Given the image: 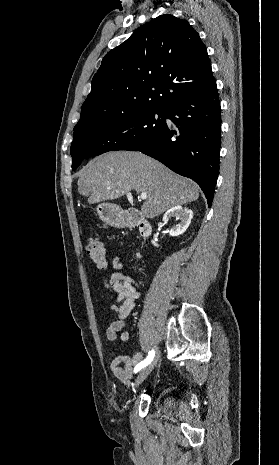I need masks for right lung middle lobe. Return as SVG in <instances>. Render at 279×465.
<instances>
[{"mask_svg":"<svg viewBox=\"0 0 279 465\" xmlns=\"http://www.w3.org/2000/svg\"><path fill=\"white\" fill-rule=\"evenodd\" d=\"M165 109H143L97 126L74 127L72 170L85 158L152 142L164 130Z\"/></svg>","mask_w":279,"mask_h":465,"instance_id":"obj_1","label":"right lung middle lobe"}]
</instances>
